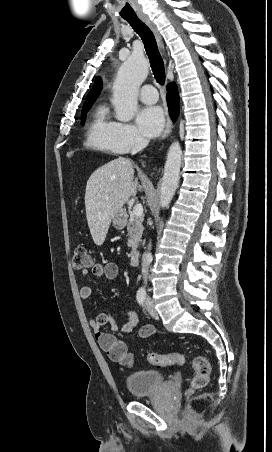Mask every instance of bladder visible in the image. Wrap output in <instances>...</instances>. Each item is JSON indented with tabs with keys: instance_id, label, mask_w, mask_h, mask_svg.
I'll list each match as a JSON object with an SVG mask.
<instances>
[{
	"instance_id": "bladder-1",
	"label": "bladder",
	"mask_w": 272,
	"mask_h": 452,
	"mask_svg": "<svg viewBox=\"0 0 272 452\" xmlns=\"http://www.w3.org/2000/svg\"><path fill=\"white\" fill-rule=\"evenodd\" d=\"M163 384V375L155 370H135L125 378V386L134 397L148 396Z\"/></svg>"
}]
</instances>
